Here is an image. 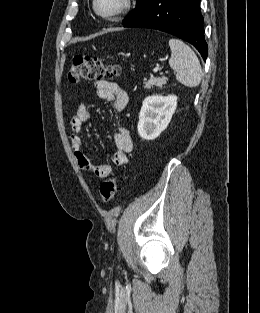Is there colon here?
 Wrapping results in <instances>:
<instances>
[{
  "instance_id": "colon-1",
  "label": "colon",
  "mask_w": 260,
  "mask_h": 313,
  "mask_svg": "<svg viewBox=\"0 0 260 313\" xmlns=\"http://www.w3.org/2000/svg\"><path fill=\"white\" fill-rule=\"evenodd\" d=\"M118 65H105L101 59L89 56H74L70 61L67 80L75 84L84 80H96L105 77H113L120 73ZM121 177L113 176L100 186L99 196L103 203L113 200Z\"/></svg>"
}]
</instances>
